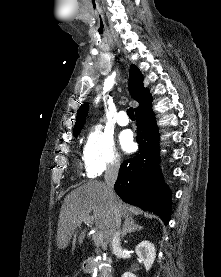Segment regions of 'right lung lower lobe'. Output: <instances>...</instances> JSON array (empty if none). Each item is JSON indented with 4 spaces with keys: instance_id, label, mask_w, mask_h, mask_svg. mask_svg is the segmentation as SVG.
<instances>
[{
    "instance_id": "1",
    "label": "right lung lower lobe",
    "mask_w": 221,
    "mask_h": 277,
    "mask_svg": "<svg viewBox=\"0 0 221 277\" xmlns=\"http://www.w3.org/2000/svg\"><path fill=\"white\" fill-rule=\"evenodd\" d=\"M138 154L122 163L114 185L120 198L157 214L168 224L171 192L164 184L159 169V133L152 111V98L135 110Z\"/></svg>"
}]
</instances>
